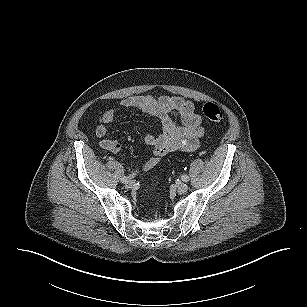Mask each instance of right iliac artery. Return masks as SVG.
Returning <instances> with one entry per match:
<instances>
[{
	"instance_id": "82829eb1",
	"label": "right iliac artery",
	"mask_w": 307,
	"mask_h": 307,
	"mask_svg": "<svg viewBox=\"0 0 307 307\" xmlns=\"http://www.w3.org/2000/svg\"><path fill=\"white\" fill-rule=\"evenodd\" d=\"M134 175H135V174H132V175H129V176H124V177H122V178H121V182H122V183H127V182H129V180H130L131 178H133Z\"/></svg>"
}]
</instances>
